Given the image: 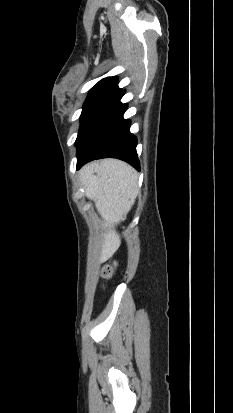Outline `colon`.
Returning a JSON list of instances; mask_svg holds the SVG:
<instances>
[{
    "mask_svg": "<svg viewBox=\"0 0 233 413\" xmlns=\"http://www.w3.org/2000/svg\"><path fill=\"white\" fill-rule=\"evenodd\" d=\"M114 273V266L113 265H108L106 266V268L104 269V275L107 278H110Z\"/></svg>",
    "mask_w": 233,
    "mask_h": 413,
    "instance_id": "colon-1",
    "label": "colon"
}]
</instances>
